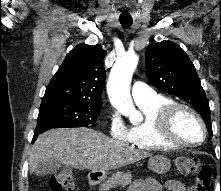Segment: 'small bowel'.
<instances>
[{
	"label": "small bowel",
	"mask_w": 221,
	"mask_h": 191,
	"mask_svg": "<svg viewBox=\"0 0 221 191\" xmlns=\"http://www.w3.org/2000/svg\"><path fill=\"white\" fill-rule=\"evenodd\" d=\"M188 191L187 186L178 180L166 181L163 185L152 179L135 180L128 191Z\"/></svg>",
	"instance_id": "c3829d8e"
}]
</instances>
